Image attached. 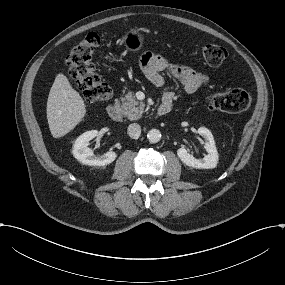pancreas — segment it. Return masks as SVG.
<instances>
[{
  "instance_id": "cf45deb5",
  "label": "pancreas",
  "mask_w": 285,
  "mask_h": 285,
  "mask_svg": "<svg viewBox=\"0 0 285 285\" xmlns=\"http://www.w3.org/2000/svg\"><path fill=\"white\" fill-rule=\"evenodd\" d=\"M120 100L122 101V111L125 117L130 120H137L142 117L146 105L144 102L136 100L134 92L127 93Z\"/></svg>"
}]
</instances>
